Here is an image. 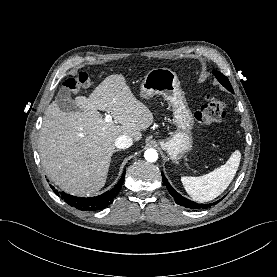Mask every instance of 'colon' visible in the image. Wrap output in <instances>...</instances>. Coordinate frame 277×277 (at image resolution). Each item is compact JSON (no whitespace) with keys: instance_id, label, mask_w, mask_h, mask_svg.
Segmentation results:
<instances>
[{"instance_id":"colon-1","label":"colon","mask_w":277,"mask_h":277,"mask_svg":"<svg viewBox=\"0 0 277 277\" xmlns=\"http://www.w3.org/2000/svg\"><path fill=\"white\" fill-rule=\"evenodd\" d=\"M90 84V78L86 73H80L76 77L68 78L63 83L64 87L72 92L89 87ZM226 115V103L215 96L208 95L205 98V103L194 114V118L199 125L209 126L222 122Z\"/></svg>"}]
</instances>
